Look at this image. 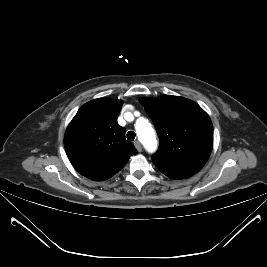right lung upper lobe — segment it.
<instances>
[{
    "label": "right lung upper lobe",
    "instance_id": "right-lung-upper-lobe-1",
    "mask_svg": "<svg viewBox=\"0 0 267 267\" xmlns=\"http://www.w3.org/2000/svg\"><path fill=\"white\" fill-rule=\"evenodd\" d=\"M121 100L95 99L84 104L64 136L67 156L83 176L103 181L111 178L137 153L117 123Z\"/></svg>",
    "mask_w": 267,
    "mask_h": 267
}]
</instances>
